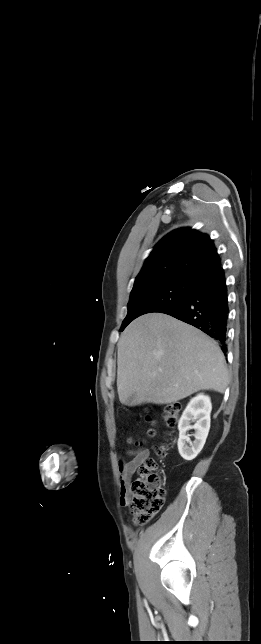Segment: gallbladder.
Listing matches in <instances>:
<instances>
[{"label":"gallbladder","mask_w":261,"mask_h":644,"mask_svg":"<svg viewBox=\"0 0 261 644\" xmlns=\"http://www.w3.org/2000/svg\"><path fill=\"white\" fill-rule=\"evenodd\" d=\"M133 397H134V396H131V397L129 398V400L131 401V400L133 399Z\"/></svg>","instance_id":"gallbladder-1"}]
</instances>
